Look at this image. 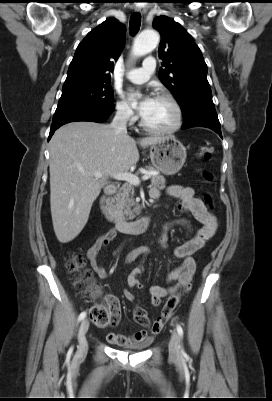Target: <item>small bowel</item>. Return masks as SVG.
Masks as SVG:
<instances>
[{"label":"small bowel","instance_id":"1","mask_svg":"<svg viewBox=\"0 0 272 401\" xmlns=\"http://www.w3.org/2000/svg\"><path fill=\"white\" fill-rule=\"evenodd\" d=\"M166 193L170 197L178 199L180 202V210L191 215L194 219L200 222L202 226L195 231L193 236L188 241L179 245L174 250V257L181 259L182 264L168 273L167 282L169 285L161 286L155 284L149 287L150 301L153 306H158L161 302V299L173 292L178 286L187 285L190 283L196 269L193 255L206 244V242L215 234L217 229L216 217L207 209L204 202L195 196L193 188L186 186H170ZM151 196L153 198L159 197L160 190L157 188L151 189ZM174 224H179L191 229L186 219L178 220ZM169 226L170 225L164 227V231L159 239V242L163 248H167V230ZM116 235L117 231L115 229H111L101 234L87 251V258L92 268L101 278H106L107 272L100 264L99 256L101 252L113 241ZM148 253L149 248L147 246H139L126 256V263H131L137 258H140L141 260L140 264L132 269L127 276V285L130 289H140L142 287V284L139 281V276L144 271V260ZM123 295L128 301H133L135 298L134 294L130 290H124ZM104 299L107 306L111 310L113 325H116L120 321L121 317V306L119 300L114 295L110 294H106ZM163 324L164 323H154L149 326L140 324L144 326L145 329L133 332L128 336L117 333H108L107 339L111 344L118 346L138 344L142 342L146 343L149 342V334H158L161 331Z\"/></svg>","mask_w":272,"mask_h":401}]
</instances>
